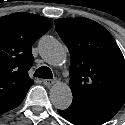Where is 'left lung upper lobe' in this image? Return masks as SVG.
Listing matches in <instances>:
<instances>
[{
	"label": "left lung upper lobe",
	"mask_w": 125,
	"mask_h": 125,
	"mask_svg": "<svg viewBox=\"0 0 125 125\" xmlns=\"http://www.w3.org/2000/svg\"><path fill=\"white\" fill-rule=\"evenodd\" d=\"M71 56V106L114 105L125 102V60L111 34L87 18L55 20Z\"/></svg>",
	"instance_id": "5c2ea615"
}]
</instances>
